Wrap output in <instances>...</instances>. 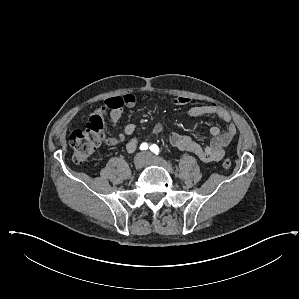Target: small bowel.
<instances>
[{"mask_svg": "<svg viewBox=\"0 0 299 299\" xmlns=\"http://www.w3.org/2000/svg\"><path fill=\"white\" fill-rule=\"evenodd\" d=\"M171 104L174 106H186L190 103V99L183 96L174 97L171 99ZM137 104V97L132 93L121 96L107 98L104 103L97 107L93 115L107 117L112 127H116L119 122L124 107H134ZM188 117L214 116L222 120L226 124V129L221 130L214 126L210 129L211 141L208 145L202 146L196 142L191 136L171 133L169 143L174 148L182 151H187L204 162H218L224 157L225 147L232 141L237 133L236 125L232 122L230 114L222 107L216 104L191 106L187 109ZM136 125L127 124L122 133H115L111 139L112 144L121 143L126 136L134 134ZM163 131V125L160 122H155L152 132L155 135ZM139 140L136 137L131 138L126 144L128 153H133L138 147Z\"/></svg>", "mask_w": 299, "mask_h": 299, "instance_id": "1", "label": "small bowel"}]
</instances>
